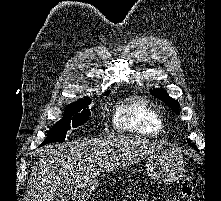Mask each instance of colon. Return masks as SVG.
I'll return each instance as SVG.
<instances>
[{"mask_svg": "<svg viewBox=\"0 0 221 201\" xmlns=\"http://www.w3.org/2000/svg\"><path fill=\"white\" fill-rule=\"evenodd\" d=\"M182 201H197L192 187L185 185L181 189Z\"/></svg>", "mask_w": 221, "mask_h": 201, "instance_id": "5ec220e1", "label": "colon"}]
</instances>
